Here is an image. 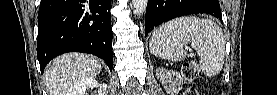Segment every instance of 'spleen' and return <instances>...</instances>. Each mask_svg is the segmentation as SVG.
Instances as JSON below:
<instances>
[{
  "mask_svg": "<svg viewBox=\"0 0 277 95\" xmlns=\"http://www.w3.org/2000/svg\"><path fill=\"white\" fill-rule=\"evenodd\" d=\"M189 42L200 58L204 75H218L224 65L226 40L222 29L210 19L185 16L166 22L153 32L149 49L158 58L181 61L186 58L184 46Z\"/></svg>",
  "mask_w": 277,
  "mask_h": 95,
  "instance_id": "spleen-1",
  "label": "spleen"
}]
</instances>
